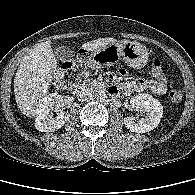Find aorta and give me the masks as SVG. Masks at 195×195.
Instances as JSON below:
<instances>
[{
	"label": "aorta",
	"mask_w": 195,
	"mask_h": 195,
	"mask_svg": "<svg viewBox=\"0 0 195 195\" xmlns=\"http://www.w3.org/2000/svg\"><path fill=\"white\" fill-rule=\"evenodd\" d=\"M95 97L98 99V100H102L104 98H106V93L104 90H98L95 94Z\"/></svg>",
	"instance_id": "obj_1"
}]
</instances>
